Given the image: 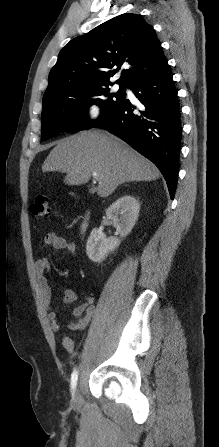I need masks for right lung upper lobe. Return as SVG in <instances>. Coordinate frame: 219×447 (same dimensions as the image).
Listing matches in <instances>:
<instances>
[{
	"mask_svg": "<svg viewBox=\"0 0 219 447\" xmlns=\"http://www.w3.org/2000/svg\"><path fill=\"white\" fill-rule=\"evenodd\" d=\"M122 64L130 67L116 82L130 88L167 66L155 30L140 15H119L72 39L59 53L43 97L86 94L111 84Z\"/></svg>",
	"mask_w": 219,
	"mask_h": 447,
	"instance_id": "right-lung-upper-lobe-1",
	"label": "right lung upper lobe"
}]
</instances>
